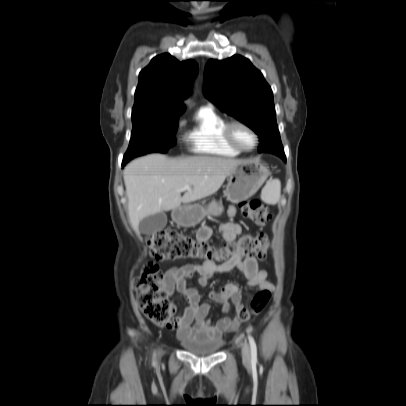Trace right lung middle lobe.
Returning <instances> with one entry per match:
<instances>
[{"instance_id": "1", "label": "right lung middle lobe", "mask_w": 406, "mask_h": 406, "mask_svg": "<svg viewBox=\"0 0 406 406\" xmlns=\"http://www.w3.org/2000/svg\"><path fill=\"white\" fill-rule=\"evenodd\" d=\"M133 130L129 148L123 163L154 152L166 153L175 145L178 117H158L146 114H132Z\"/></svg>"}]
</instances>
